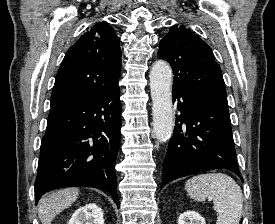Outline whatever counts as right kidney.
Returning a JSON list of instances; mask_svg holds the SVG:
<instances>
[{
	"label": "right kidney",
	"mask_w": 275,
	"mask_h": 224,
	"mask_svg": "<svg viewBox=\"0 0 275 224\" xmlns=\"http://www.w3.org/2000/svg\"><path fill=\"white\" fill-rule=\"evenodd\" d=\"M68 224H104L103 211L94 203L78 208Z\"/></svg>",
	"instance_id": "obj_1"
}]
</instances>
